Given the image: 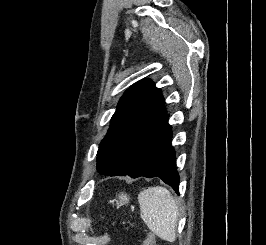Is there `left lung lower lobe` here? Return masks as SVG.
Wrapping results in <instances>:
<instances>
[{
	"label": "left lung lower lobe",
	"instance_id": "1",
	"mask_svg": "<svg viewBox=\"0 0 266 245\" xmlns=\"http://www.w3.org/2000/svg\"><path fill=\"white\" fill-rule=\"evenodd\" d=\"M169 115L141 140L135 159L124 175L132 178L159 177L169 184L178 194L179 176L176 170L175 151L171 147L172 130L168 124Z\"/></svg>",
	"mask_w": 266,
	"mask_h": 245
}]
</instances>
